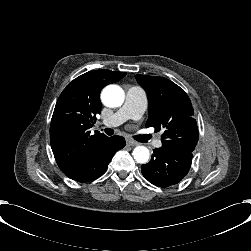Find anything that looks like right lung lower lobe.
Instances as JSON below:
<instances>
[{
	"instance_id": "1",
	"label": "right lung lower lobe",
	"mask_w": 251,
	"mask_h": 251,
	"mask_svg": "<svg viewBox=\"0 0 251 251\" xmlns=\"http://www.w3.org/2000/svg\"><path fill=\"white\" fill-rule=\"evenodd\" d=\"M124 146L123 137H107L96 147L93 155L87 161L65 174L70 179L81 183L93 181L105 173L114 154Z\"/></svg>"
}]
</instances>
